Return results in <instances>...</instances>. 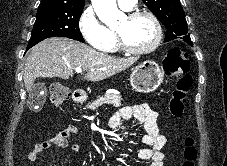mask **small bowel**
<instances>
[{
	"instance_id": "small-bowel-1",
	"label": "small bowel",
	"mask_w": 227,
	"mask_h": 166,
	"mask_svg": "<svg viewBox=\"0 0 227 166\" xmlns=\"http://www.w3.org/2000/svg\"><path fill=\"white\" fill-rule=\"evenodd\" d=\"M136 119L143 124L145 134L142 136V143L146 148L138 151V157L142 160H150V166H163L164 155L162 149L166 139L159 133L157 126L158 113L148 104H137L122 107L110 119V125L117 127L124 120ZM77 133L74 125H69L59 131L54 137L35 145L28 154L30 161H36L41 152L54 146L61 149L69 148L72 153L78 155L80 147L77 144L69 143V139Z\"/></svg>"
}]
</instances>
